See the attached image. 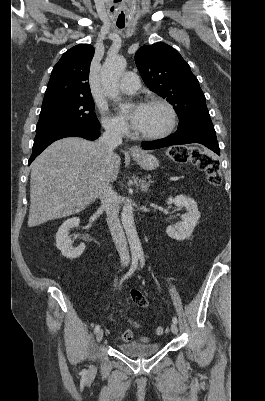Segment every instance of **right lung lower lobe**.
I'll use <instances>...</instances> for the list:
<instances>
[{
	"label": "right lung lower lobe",
	"mask_w": 265,
	"mask_h": 401,
	"mask_svg": "<svg viewBox=\"0 0 265 401\" xmlns=\"http://www.w3.org/2000/svg\"><path fill=\"white\" fill-rule=\"evenodd\" d=\"M100 136L99 128L78 125H54L36 131L29 164L51 143L65 137H82L95 140Z\"/></svg>",
	"instance_id": "98d812e1"
}]
</instances>
